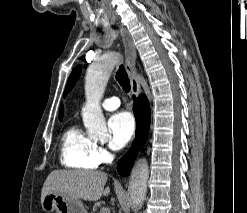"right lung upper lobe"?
<instances>
[{
	"label": "right lung upper lobe",
	"instance_id": "obj_1",
	"mask_svg": "<svg viewBox=\"0 0 247 213\" xmlns=\"http://www.w3.org/2000/svg\"><path fill=\"white\" fill-rule=\"evenodd\" d=\"M62 115H63V106H61V109H60V116H59L60 120L62 119Z\"/></svg>",
	"mask_w": 247,
	"mask_h": 213
}]
</instances>
